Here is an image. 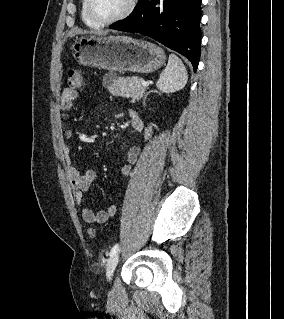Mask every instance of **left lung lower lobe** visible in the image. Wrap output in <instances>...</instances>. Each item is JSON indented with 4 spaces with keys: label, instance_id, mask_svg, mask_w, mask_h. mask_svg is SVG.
Segmentation results:
<instances>
[{
    "label": "left lung lower lobe",
    "instance_id": "0a47b994",
    "mask_svg": "<svg viewBox=\"0 0 284 319\" xmlns=\"http://www.w3.org/2000/svg\"><path fill=\"white\" fill-rule=\"evenodd\" d=\"M202 0H139L111 29L149 36L188 58L196 72L200 59Z\"/></svg>",
    "mask_w": 284,
    "mask_h": 319
}]
</instances>
